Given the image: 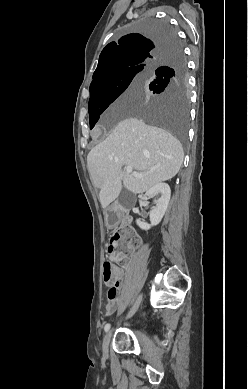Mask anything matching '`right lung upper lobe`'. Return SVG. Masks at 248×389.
<instances>
[{
  "label": "right lung upper lobe",
  "mask_w": 248,
  "mask_h": 389,
  "mask_svg": "<svg viewBox=\"0 0 248 389\" xmlns=\"http://www.w3.org/2000/svg\"><path fill=\"white\" fill-rule=\"evenodd\" d=\"M175 42L169 38L154 40L133 33L123 36L117 43H109L100 54L91 85L112 71L133 67L146 69L153 66L158 62L160 56L172 50Z\"/></svg>",
  "instance_id": "obj_1"
}]
</instances>
